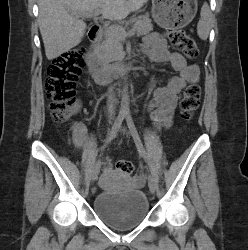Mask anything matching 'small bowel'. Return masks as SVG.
<instances>
[{"label": "small bowel", "instance_id": "1", "mask_svg": "<svg viewBox=\"0 0 248 250\" xmlns=\"http://www.w3.org/2000/svg\"><path fill=\"white\" fill-rule=\"evenodd\" d=\"M142 51L151 62H168L178 72V75L170 77L164 86L155 89L153 98L147 103L155 128L167 129L172 125L180 92L187 83L198 80L199 68L196 64L189 63L181 53L169 50L166 39L156 32L145 37ZM72 132L75 146L83 147L87 141L86 126L81 122H75ZM110 172V168L105 170L104 179Z\"/></svg>", "mask_w": 248, "mask_h": 250}]
</instances>
